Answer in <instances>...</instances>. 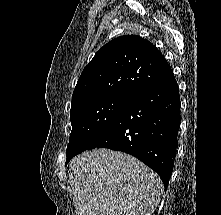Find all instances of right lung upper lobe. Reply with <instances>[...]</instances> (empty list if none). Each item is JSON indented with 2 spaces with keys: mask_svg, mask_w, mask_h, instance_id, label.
Instances as JSON below:
<instances>
[{
  "mask_svg": "<svg viewBox=\"0 0 221 215\" xmlns=\"http://www.w3.org/2000/svg\"><path fill=\"white\" fill-rule=\"evenodd\" d=\"M171 71L161 52L137 35L117 37L105 44L84 68L72 105L107 95L133 97Z\"/></svg>",
  "mask_w": 221,
  "mask_h": 215,
  "instance_id": "right-lung-upper-lobe-1",
  "label": "right lung upper lobe"
}]
</instances>
